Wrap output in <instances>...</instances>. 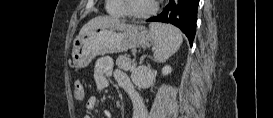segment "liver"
Instances as JSON below:
<instances>
[{
  "label": "liver",
  "instance_id": "liver-1",
  "mask_svg": "<svg viewBox=\"0 0 273 118\" xmlns=\"http://www.w3.org/2000/svg\"><path fill=\"white\" fill-rule=\"evenodd\" d=\"M116 19H113L108 16H98L87 22L80 30L79 35H83L94 28L101 27L113 22H116Z\"/></svg>",
  "mask_w": 273,
  "mask_h": 118
}]
</instances>
